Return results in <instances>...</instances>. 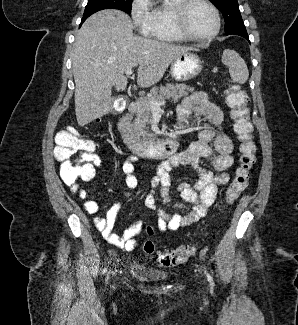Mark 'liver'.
I'll use <instances>...</instances> for the list:
<instances>
[{"instance_id": "6515ba94", "label": "liver", "mask_w": 298, "mask_h": 325, "mask_svg": "<svg viewBox=\"0 0 298 325\" xmlns=\"http://www.w3.org/2000/svg\"><path fill=\"white\" fill-rule=\"evenodd\" d=\"M189 50L196 48L136 36L130 16L122 10L95 12L79 28L72 52L78 124L84 126L111 110L112 86L126 90V70L140 64L137 84L149 88L163 78L174 58Z\"/></svg>"}]
</instances>
